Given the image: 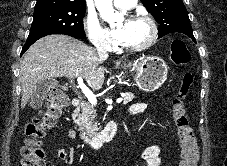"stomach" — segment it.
<instances>
[{
	"label": "stomach",
	"mask_w": 227,
	"mask_h": 166,
	"mask_svg": "<svg viewBox=\"0 0 227 166\" xmlns=\"http://www.w3.org/2000/svg\"><path fill=\"white\" fill-rule=\"evenodd\" d=\"M129 67H133L136 71V85L145 92L157 90L167 79V65L163 59L157 56H147L133 64L124 65V68Z\"/></svg>",
	"instance_id": "0dacf381"
}]
</instances>
